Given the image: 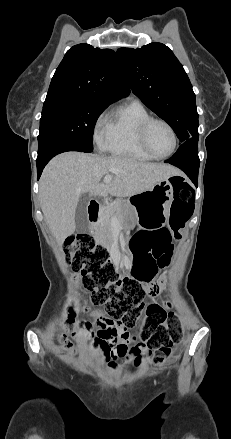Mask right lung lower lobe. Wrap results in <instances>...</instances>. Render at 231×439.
Listing matches in <instances>:
<instances>
[{"label":"right lung lower lobe","mask_w":231,"mask_h":439,"mask_svg":"<svg viewBox=\"0 0 231 439\" xmlns=\"http://www.w3.org/2000/svg\"><path fill=\"white\" fill-rule=\"evenodd\" d=\"M66 151H81L80 148L74 146V145H69V144H61V145H57L56 147H54L47 155L42 156V157H37L36 163H37V175H38V179L43 171V168L45 167V165L50 161V159H52L55 155L62 153V152H66Z\"/></svg>","instance_id":"1"}]
</instances>
